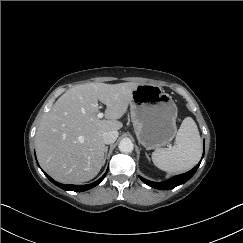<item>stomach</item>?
I'll return each mask as SVG.
<instances>
[{
  "mask_svg": "<svg viewBox=\"0 0 243 243\" xmlns=\"http://www.w3.org/2000/svg\"><path fill=\"white\" fill-rule=\"evenodd\" d=\"M177 106L162 87L139 84L132 92L130 114L139 143L147 150L167 145L176 135Z\"/></svg>",
  "mask_w": 243,
  "mask_h": 243,
  "instance_id": "obj_1",
  "label": "stomach"
}]
</instances>
